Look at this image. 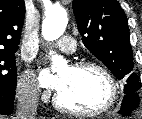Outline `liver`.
<instances>
[{
  "mask_svg": "<svg viewBox=\"0 0 142 119\" xmlns=\"http://www.w3.org/2000/svg\"><path fill=\"white\" fill-rule=\"evenodd\" d=\"M0 119H5L4 117L0 116Z\"/></svg>",
  "mask_w": 142,
  "mask_h": 119,
  "instance_id": "obj_1",
  "label": "liver"
}]
</instances>
